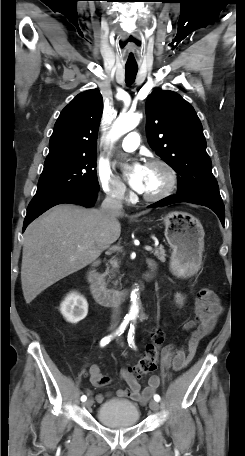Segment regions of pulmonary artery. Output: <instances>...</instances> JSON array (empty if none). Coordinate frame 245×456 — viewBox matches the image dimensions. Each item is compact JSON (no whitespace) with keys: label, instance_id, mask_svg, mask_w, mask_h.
I'll list each match as a JSON object with an SVG mask.
<instances>
[{"label":"pulmonary artery","instance_id":"e3ab8cb5","mask_svg":"<svg viewBox=\"0 0 245 456\" xmlns=\"http://www.w3.org/2000/svg\"><path fill=\"white\" fill-rule=\"evenodd\" d=\"M139 140V134L137 132H131L123 139L121 148L126 152H133L137 149Z\"/></svg>","mask_w":245,"mask_h":456}]
</instances>
